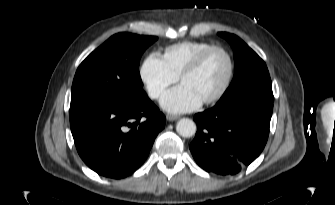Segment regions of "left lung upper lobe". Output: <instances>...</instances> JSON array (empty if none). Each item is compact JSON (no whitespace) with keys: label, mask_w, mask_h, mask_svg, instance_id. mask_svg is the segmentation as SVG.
I'll return each instance as SVG.
<instances>
[{"label":"left lung upper lobe","mask_w":335,"mask_h":205,"mask_svg":"<svg viewBox=\"0 0 335 205\" xmlns=\"http://www.w3.org/2000/svg\"><path fill=\"white\" fill-rule=\"evenodd\" d=\"M234 51L235 74L218 103L240 96H256L273 102L272 82L265 62L238 36L219 32Z\"/></svg>","instance_id":"5c2ea615"}]
</instances>
